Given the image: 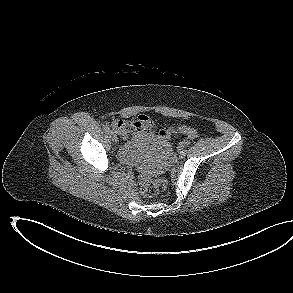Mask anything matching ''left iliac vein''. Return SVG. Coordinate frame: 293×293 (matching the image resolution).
I'll use <instances>...</instances> for the list:
<instances>
[{
  "instance_id": "left-iliac-vein-1",
  "label": "left iliac vein",
  "mask_w": 293,
  "mask_h": 293,
  "mask_svg": "<svg viewBox=\"0 0 293 293\" xmlns=\"http://www.w3.org/2000/svg\"><path fill=\"white\" fill-rule=\"evenodd\" d=\"M180 156L183 157L186 155V150L185 149H181L179 152Z\"/></svg>"
}]
</instances>
